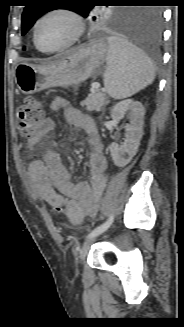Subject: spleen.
<instances>
[{"label":"spleen","mask_w":184,"mask_h":327,"mask_svg":"<svg viewBox=\"0 0 184 327\" xmlns=\"http://www.w3.org/2000/svg\"><path fill=\"white\" fill-rule=\"evenodd\" d=\"M107 67L104 85L114 99H123L150 85L155 70L150 59L139 48L127 40L111 36L108 38Z\"/></svg>","instance_id":"3e777b00"}]
</instances>
